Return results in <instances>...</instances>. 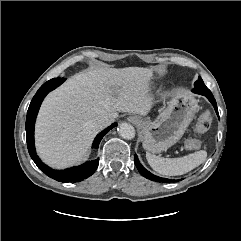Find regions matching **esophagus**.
Segmentation results:
<instances>
[{"label": "esophagus", "mask_w": 241, "mask_h": 241, "mask_svg": "<svg viewBox=\"0 0 241 241\" xmlns=\"http://www.w3.org/2000/svg\"><path fill=\"white\" fill-rule=\"evenodd\" d=\"M128 121L135 124L138 122V118L136 116H130Z\"/></svg>", "instance_id": "esophagus-1"}]
</instances>
